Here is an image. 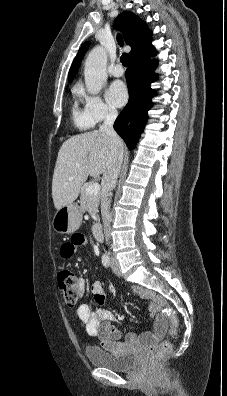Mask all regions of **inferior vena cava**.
Listing matches in <instances>:
<instances>
[{"label": "inferior vena cava", "instance_id": "obj_1", "mask_svg": "<svg viewBox=\"0 0 227 396\" xmlns=\"http://www.w3.org/2000/svg\"><path fill=\"white\" fill-rule=\"evenodd\" d=\"M117 116L118 112L116 109H109L105 116L104 122L99 129V131L104 132L109 137L111 143L110 157L102 178L103 189L101 194V214L104 224V234L106 242H108L110 238L111 216L109 212V196L110 192L114 189L116 185L123 160V153L120 152L118 147L119 136L116 134L113 128V124Z\"/></svg>", "mask_w": 227, "mask_h": 396}]
</instances>
